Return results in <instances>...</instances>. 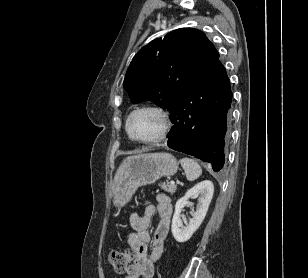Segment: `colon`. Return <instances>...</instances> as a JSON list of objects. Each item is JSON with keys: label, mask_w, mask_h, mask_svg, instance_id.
<instances>
[{"label": "colon", "mask_w": 308, "mask_h": 278, "mask_svg": "<svg viewBox=\"0 0 308 278\" xmlns=\"http://www.w3.org/2000/svg\"><path fill=\"white\" fill-rule=\"evenodd\" d=\"M133 254L130 249L115 250L109 254L108 261L116 272L124 273L131 264Z\"/></svg>", "instance_id": "5ec220e1"}]
</instances>
